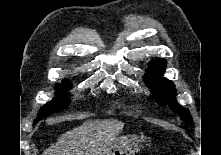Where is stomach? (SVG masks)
Instances as JSON below:
<instances>
[{
	"label": "stomach",
	"mask_w": 221,
	"mask_h": 155,
	"mask_svg": "<svg viewBox=\"0 0 221 155\" xmlns=\"http://www.w3.org/2000/svg\"><path fill=\"white\" fill-rule=\"evenodd\" d=\"M142 140L135 135L116 138L105 155H136Z\"/></svg>",
	"instance_id": "1"
}]
</instances>
